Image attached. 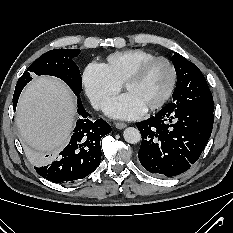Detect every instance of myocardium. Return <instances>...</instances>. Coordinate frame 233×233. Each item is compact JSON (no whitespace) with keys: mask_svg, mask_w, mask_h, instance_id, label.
<instances>
[{"mask_svg":"<svg viewBox=\"0 0 233 233\" xmlns=\"http://www.w3.org/2000/svg\"><path fill=\"white\" fill-rule=\"evenodd\" d=\"M158 62H163L168 66L171 74L170 83L164 95L156 103L146 108V111H154L161 108L171 98L177 84V70L173 62L166 57H154L138 65L123 82V88L126 90L129 84L139 80L153 64Z\"/></svg>","mask_w":233,"mask_h":233,"instance_id":"myocardium-1","label":"myocardium"}]
</instances>
